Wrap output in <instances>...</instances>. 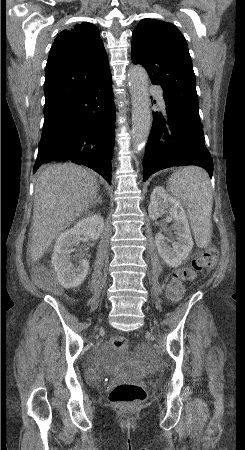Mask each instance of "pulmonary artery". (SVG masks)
Masks as SVG:
<instances>
[{"label": "pulmonary artery", "mask_w": 245, "mask_h": 450, "mask_svg": "<svg viewBox=\"0 0 245 450\" xmlns=\"http://www.w3.org/2000/svg\"><path fill=\"white\" fill-rule=\"evenodd\" d=\"M156 94H157V97H158V99H159V102H160L162 105H165V102H164L163 97H162V92H157Z\"/></svg>", "instance_id": "e3ab8cb5"}]
</instances>
